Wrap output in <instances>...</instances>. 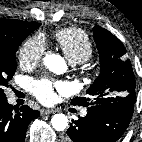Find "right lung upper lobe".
<instances>
[{"label":"right lung upper lobe","mask_w":142,"mask_h":142,"mask_svg":"<svg viewBox=\"0 0 142 142\" xmlns=\"http://www.w3.org/2000/svg\"><path fill=\"white\" fill-rule=\"evenodd\" d=\"M39 26L40 23H32L13 19H0V40L9 38L22 31L33 28L37 29Z\"/></svg>","instance_id":"1"}]
</instances>
